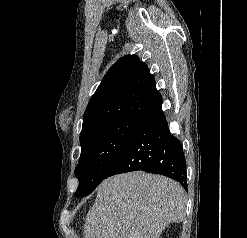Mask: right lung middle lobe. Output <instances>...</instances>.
<instances>
[{"label": "right lung middle lobe", "mask_w": 247, "mask_h": 238, "mask_svg": "<svg viewBox=\"0 0 247 238\" xmlns=\"http://www.w3.org/2000/svg\"><path fill=\"white\" fill-rule=\"evenodd\" d=\"M145 122L141 118L118 119L80 138L82 149L75 168L79 186L75 196L89 195L105 179L112 164Z\"/></svg>", "instance_id": "1"}]
</instances>
